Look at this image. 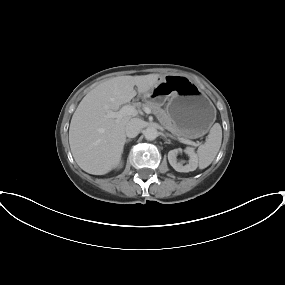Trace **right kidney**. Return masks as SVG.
Masks as SVG:
<instances>
[{
  "label": "right kidney",
  "mask_w": 285,
  "mask_h": 285,
  "mask_svg": "<svg viewBox=\"0 0 285 285\" xmlns=\"http://www.w3.org/2000/svg\"><path fill=\"white\" fill-rule=\"evenodd\" d=\"M117 166L121 167V166H122V163H118Z\"/></svg>",
  "instance_id": "right-kidney-1"
}]
</instances>
